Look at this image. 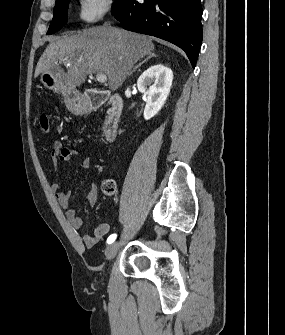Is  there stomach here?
Segmentation results:
<instances>
[{
	"instance_id": "0dacf381",
	"label": "stomach",
	"mask_w": 285,
	"mask_h": 335,
	"mask_svg": "<svg viewBox=\"0 0 285 335\" xmlns=\"http://www.w3.org/2000/svg\"><path fill=\"white\" fill-rule=\"evenodd\" d=\"M40 82L44 84L45 88L48 90H52L55 94H64L66 98V102H69L72 106L73 112H84L86 110V102L77 90H72V88H68L62 80L57 78L56 74H52L50 70H46V72H41L40 74Z\"/></svg>"
}]
</instances>
